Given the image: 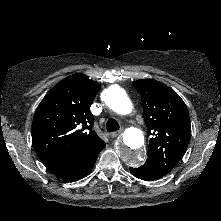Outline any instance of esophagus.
I'll return each mask as SVG.
<instances>
[{
	"instance_id": "34e87169",
	"label": "esophagus",
	"mask_w": 221,
	"mask_h": 221,
	"mask_svg": "<svg viewBox=\"0 0 221 221\" xmlns=\"http://www.w3.org/2000/svg\"><path fill=\"white\" fill-rule=\"evenodd\" d=\"M121 133H122V130L115 131V132L110 133V136H111L112 138H115V137H117L118 135H120Z\"/></svg>"
}]
</instances>
